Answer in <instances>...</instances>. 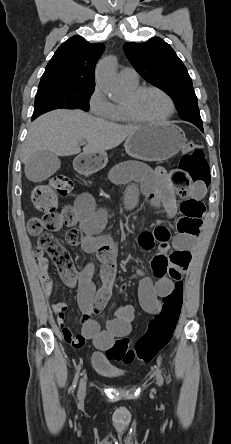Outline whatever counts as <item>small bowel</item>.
<instances>
[{"mask_svg":"<svg viewBox=\"0 0 231 444\" xmlns=\"http://www.w3.org/2000/svg\"><path fill=\"white\" fill-rule=\"evenodd\" d=\"M108 177L113 183L129 184L126 192L129 207L134 204L139 189L153 205L161 206L168 217H173L177 212V196L184 197L185 201L194 200L203 205L201 200L205 193L204 183L177 182L161 167L152 170L143 164L124 162L113 167ZM69 210L72 213V221L68 225L71 229L66 235V241L72 246H80L86 253L94 254L102 263L103 284L99 289H96L92 281L93 264L86 265L78 275V304L82 312L80 333L75 334L66 323L64 312L68 306L67 302L56 301L53 298V279L48 270V259L39 250L35 252V259L45 295L51 302L65 341L74 348H80L86 340H90L96 348L107 350L116 339L130 334L136 319V310L129 305L121 306L116 310L115 316L106 322L105 328L97 322L96 318L112 293L117 250L109 237L99 234L106 222L107 213L105 210L96 209L89 194L78 196ZM75 224H78V229L72 227ZM193 239L194 236L179 234L170 242L169 235H158L156 231H144L138 236V245L144 250H151L156 243L159 244L158 253L151 261L155 281L139 271L142 276L138 290L139 303L145 312L157 314L161 311V299L173 291L175 282L182 279L190 264Z\"/></svg>","mask_w":231,"mask_h":444,"instance_id":"obj_1","label":"small bowel"}]
</instances>
